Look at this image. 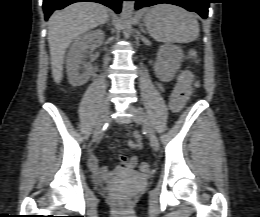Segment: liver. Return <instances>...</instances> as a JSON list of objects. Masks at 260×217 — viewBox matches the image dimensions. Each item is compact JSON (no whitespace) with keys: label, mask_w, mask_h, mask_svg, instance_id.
Returning <instances> with one entry per match:
<instances>
[{"label":"liver","mask_w":260,"mask_h":217,"mask_svg":"<svg viewBox=\"0 0 260 217\" xmlns=\"http://www.w3.org/2000/svg\"><path fill=\"white\" fill-rule=\"evenodd\" d=\"M108 11L98 3L78 2L54 12L48 21V43L52 77L55 83L63 78L66 49L79 35L106 22Z\"/></svg>","instance_id":"6515ba94"}]
</instances>
